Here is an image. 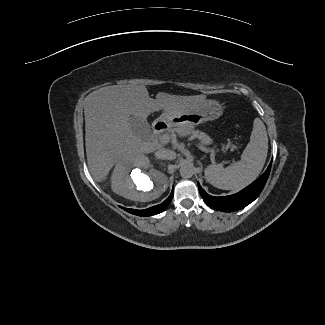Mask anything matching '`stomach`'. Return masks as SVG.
Wrapping results in <instances>:
<instances>
[{"mask_svg":"<svg viewBox=\"0 0 325 325\" xmlns=\"http://www.w3.org/2000/svg\"><path fill=\"white\" fill-rule=\"evenodd\" d=\"M223 113V106L216 100H206L187 112L163 113L159 120L171 126H194L204 121L215 120Z\"/></svg>","mask_w":325,"mask_h":325,"instance_id":"1","label":"stomach"}]
</instances>
